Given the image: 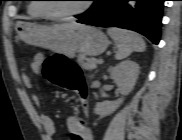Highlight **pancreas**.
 <instances>
[{"label":"pancreas","instance_id":"obj_1","mask_svg":"<svg viewBox=\"0 0 182 140\" xmlns=\"http://www.w3.org/2000/svg\"><path fill=\"white\" fill-rule=\"evenodd\" d=\"M79 64L86 70H93L97 67L98 60L95 58H87L85 55L78 56Z\"/></svg>","mask_w":182,"mask_h":140}]
</instances>
